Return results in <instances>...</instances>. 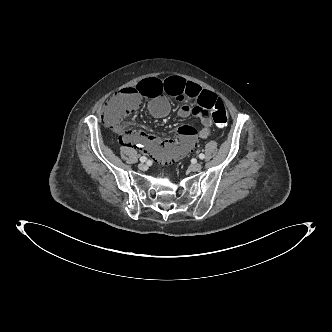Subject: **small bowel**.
<instances>
[{
  "instance_id": "c3829d8e",
  "label": "small bowel",
  "mask_w": 332,
  "mask_h": 332,
  "mask_svg": "<svg viewBox=\"0 0 332 332\" xmlns=\"http://www.w3.org/2000/svg\"><path fill=\"white\" fill-rule=\"evenodd\" d=\"M138 96L148 101V110L152 116L163 118L170 112V99L181 103L178 116L181 118L194 115L199 118L201 128L182 126L178 133H171L166 140L140 130H127L122 134L125 146L136 145L145 150L161 167H170L178 160L188 156L193 142L197 138L206 139L211 135L213 120L210 106L216 95L203 90L198 84L179 76H152L139 78L135 82ZM188 100H196L195 106L188 105Z\"/></svg>"
}]
</instances>
